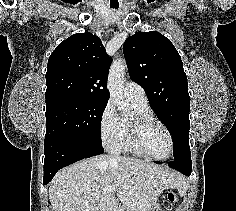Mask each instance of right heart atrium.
Segmentation results:
<instances>
[{
	"label": "right heart atrium",
	"mask_w": 236,
	"mask_h": 211,
	"mask_svg": "<svg viewBox=\"0 0 236 211\" xmlns=\"http://www.w3.org/2000/svg\"><path fill=\"white\" fill-rule=\"evenodd\" d=\"M121 131L120 117L111 101L104 106L99 119V133L103 146L112 149Z\"/></svg>",
	"instance_id": "1"
}]
</instances>
